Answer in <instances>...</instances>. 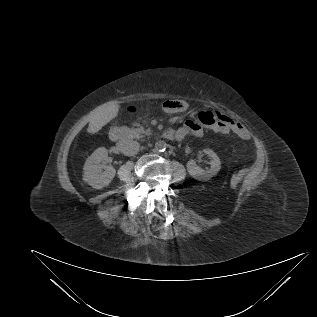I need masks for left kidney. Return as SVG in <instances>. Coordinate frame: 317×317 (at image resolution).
<instances>
[{
	"label": "left kidney",
	"instance_id": "1",
	"mask_svg": "<svg viewBox=\"0 0 317 317\" xmlns=\"http://www.w3.org/2000/svg\"><path fill=\"white\" fill-rule=\"evenodd\" d=\"M203 152L211 158V168L208 170H204L196 165V162L194 160H189L187 162V171L188 173L195 179L198 180H208L214 175H216L220 168L221 163L219 157L216 155V153L211 149H204Z\"/></svg>",
	"mask_w": 317,
	"mask_h": 317
}]
</instances>
